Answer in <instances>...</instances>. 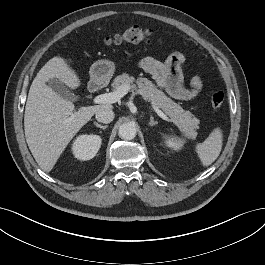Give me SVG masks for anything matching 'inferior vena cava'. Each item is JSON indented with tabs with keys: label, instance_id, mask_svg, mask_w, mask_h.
<instances>
[{
	"label": "inferior vena cava",
	"instance_id": "inferior-vena-cava-1",
	"mask_svg": "<svg viewBox=\"0 0 265 265\" xmlns=\"http://www.w3.org/2000/svg\"><path fill=\"white\" fill-rule=\"evenodd\" d=\"M96 120L101 123H110L114 119V112L109 107H104L96 112Z\"/></svg>",
	"mask_w": 265,
	"mask_h": 265
}]
</instances>
